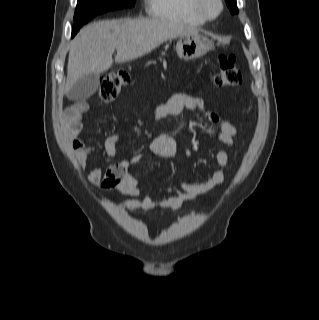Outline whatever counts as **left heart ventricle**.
<instances>
[{
  "instance_id": "obj_1",
  "label": "left heart ventricle",
  "mask_w": 319,
  "mask_h": 320,
  "mask_svg": "<svg viewBox=\"0 0 319 320\" xmlns=\"http://www.w3.org/2000/svg\"><path fill=\"white\" fill-rule=\"evenodd\" d=\"M206 7L210 13H215L218 9V5L215 0H206Z\"/></svg>"
}]
</instances>
